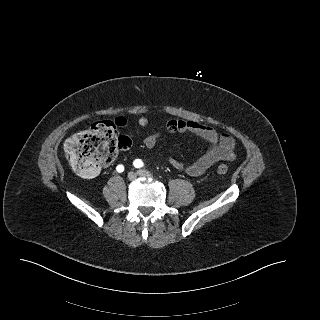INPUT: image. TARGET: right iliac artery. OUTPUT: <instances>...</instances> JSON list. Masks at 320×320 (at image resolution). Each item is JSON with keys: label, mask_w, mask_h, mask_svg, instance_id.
<instances>
[{"label": "right iliac artery", "mask_w": 320, "mask_h": 320, "mask_svg": "<svg viewBox=\"0 0 320 320\" xmlns=\"http://www.w3.org/2000/svg\"><path fill=\"white\" fill-rule=\"evenodd\" d=\"M116 170H117L119 173H121V172L124 171V166H123V165H118V166L116 167Z\"/></svg>", "instance_id": "right-iliac-artery-1"}]
</instances>
